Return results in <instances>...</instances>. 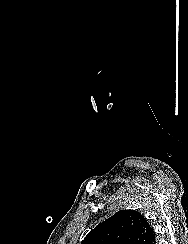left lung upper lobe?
<instances>
[{"label": "left lung upper lobe", "mask_w": 188, "mask_h": 244, "mask_svg": "<svg viewBox=\"0 0 188 244\" xmlns=\"http://www.w3.org/2000/svg\"><path fill=\"white\" fill-rule=\"evenodd\" d=\"M155 233L139 212L121 210L92 229L81 244H153Z\"/></svg>", "instance_id": "obj_1"}]
</instances>
